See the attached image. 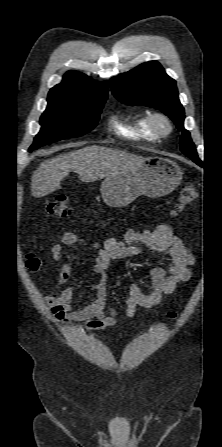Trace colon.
<instances>
[{
    "mask_svg": "<svg viewBox=\"0 0 222 447\" xmlns=\"http://www.w3.org/2000/svg\"><path fill=\"white\" fill-rule=\"evenodd\" d=\"M197 191L193 184H188L183 187L175 207V212H182L192 201L196 198ZM46 211L49 215L57 218H66L71 215V207L69 205V198L60 196L50 201L46 206ZM26 266L32 271H38L42 266V260L33 254L26 256ZM177 317V312L171 311L168 313V318L174 320Z\"/></svg>",
    "mask_w": 222,
    "mask_h": 447,
    "instance_id": "5ec220e1",
    "label": "colon"
}]
</instances>
